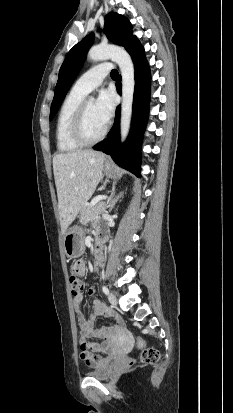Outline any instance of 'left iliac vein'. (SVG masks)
Instances as JSON below:
<instances>
[{"label": "left iliac vein", "mask_w": 233, "mask_h": 413, "mask_svg": "<svg viewBox=\"0 0 233 413\" xmlns=\"http://www.w3.org/2000/svg\"><path fill=\"white\" fill-rule=\"evenodd\" d=\"M108 301L113 306L117 305V299H116L115 295L112 294V293L108 295Z\"/></svg>", "instance_id": "1"}]
</instances>
